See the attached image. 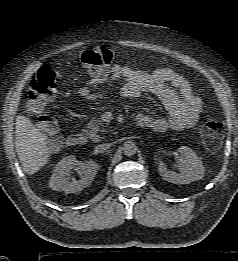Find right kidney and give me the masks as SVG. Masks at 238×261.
Listing matches in <instances>:
<instances>
[{
	"instance_id": "right-kidney-1",
	"label": "right kidney",
	"mask_w": 238,
	"mask_h": 261,
	"mask_svg": "<svg viewBox=\"0 0 238 261\" xmlns=\"http://www.w3.org/2000/svg\"><path fill=\"white\" fill-rule=\"evenodd\" d=\"M99 169L95 161L82 162L76 160L74 156H67L60 160L49 180V187L55 191H65L66 193H75L87 187L96 176ZM72 170L80 174V180L68 181L66 176Z\"/></svg>"
}]
</instances>
